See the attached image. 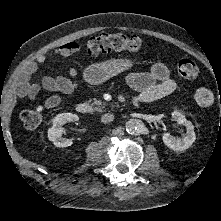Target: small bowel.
I'll list each match as a JSON object with an SVG mask.
<instances>
[{"mask_svg":"<svg viewBox=\"0 0 221 221\" xmlns=\"http://www.w3.org/2000/svg\"><path fill=\"white\" fill-rule=\"evenodd\" d=\"M77 43L69 42L55 49L54 54L59 57L75 55L78 52ZM49 58V54H41L27 63L19 74V90L22 96L35 99L41 89L55 94L49 96L45 105L48 108L57 107L61 97L56 93L72 94L77 89L78 70L75 63L69 67L68 77L46 76L40 82H32L31 77L36 73L39 65ZM130 87L138 91L137 99L140 102H153L162 99L178 88V83L170 76L168 67L161 62L154 63L148 72L131 73L126 76Z\"/></svg>","mask_w":221,"mask_h":221,"instance_id":"obj_1","label":"small bowel"}]
</instances>
